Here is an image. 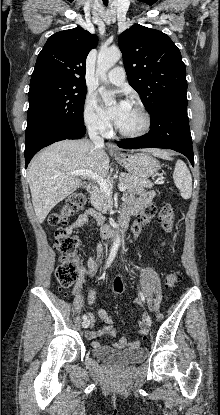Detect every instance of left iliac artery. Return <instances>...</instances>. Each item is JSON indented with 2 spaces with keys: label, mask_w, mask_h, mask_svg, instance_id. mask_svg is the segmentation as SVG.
Wrapping results in <instances>:
<instances>
[{
  "label": "left iliac artery",
  "mask_w": 220,
  "mask_h": 415,
  "mask_svg": "<svg viewBox=\"0 0 220 415\" xmlns=\"http://www.w3.org/2000/svg\"><path fill=\"white\" fill-rule=\"evenodd\" d=\"M139 298H140V300L142 301V302H144L145 301V299H144V295H143V293L141 292V291H139ZM147 321H148V319H146Z\"/></svg>",
  "instance_id": "left-iliac-artery-1"
}]
</instances>
